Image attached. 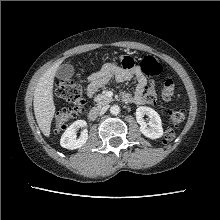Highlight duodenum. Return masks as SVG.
I'll return each mask as SVG.
<instances>
[{
	"label": "duodenum",
	"instance_id": "1",
	"mask_svg": "<svg viewBox=\"0 0 220 220\" xmlns=\"http://www.w3.org/2000/svg\"><path fill=\"white\" fill-rule=\"evenodd\" d=\"M99 112H100L99 108L97 107L92 108L87 114L88 119L90 121L96 120L98 118Z\"/></svg>",
	"mask_w": 220,
	"mask_h": 220
}]
</instances>
